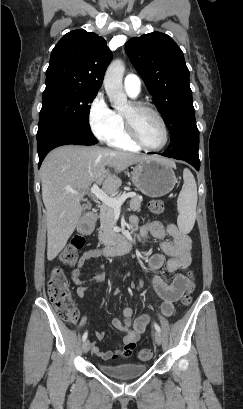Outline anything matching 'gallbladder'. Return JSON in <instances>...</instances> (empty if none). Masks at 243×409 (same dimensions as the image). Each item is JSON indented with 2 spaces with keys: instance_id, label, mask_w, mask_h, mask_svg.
Segmentation results:
<instances>
[{
  "instance_id": "1",
  "label": "gallbladder",
  "mask_w": 243,
  "mask_h": 409,
  "mask_svg": "<svg viewBox=\"0 0 243 409\" xmlns=\"http://www.w3.org/2000/svg\"><path fill=\"white\" fill-rule=\"evenodd\" d=\"M87 208V205H83L82 209L85 210Z\"/></svg>"
}]
</instances>
